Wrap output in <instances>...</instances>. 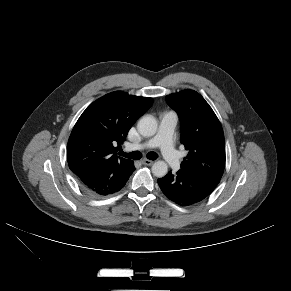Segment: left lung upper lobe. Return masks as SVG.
<instances>
[{
	"label": "left lung upper lobe",
	"instance_id": "left-lung-upper-lobe-1",
	"mask_svg": "<svg viewBox=\"0 0 291 291\" xmlns=\"http://www.w3.org/2000/svg\"><path fill=\"white\" fill-rule=\"evenodd\" d=\"M179 115L181 143L189 150L181 169L218 184L225 167L222 126L205 99L194 90L166 96Z\"/></svg>",
	"mask_w": 291,
	"mask_h": 291
}]
</instances>
